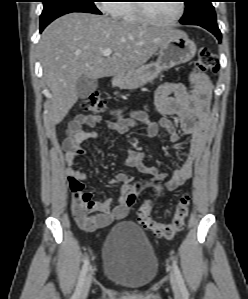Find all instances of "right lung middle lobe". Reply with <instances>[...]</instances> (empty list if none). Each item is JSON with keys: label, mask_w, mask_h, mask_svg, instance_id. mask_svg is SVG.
<instances>
[{"label": "right lung middle lobe", "mask_w": 248, "mask_h": 299, "mask_svg": "<svg viewBox=\"0 0 248 299\" xmlns=\"http://www.w3.org/2000/svg\"><path fill=\"white\" fill-rule=\"evenodd\" d=\"M43 4L40 26H47L54 19L71 12L101 14L93 0H43Z\"/></svg>", "instance_id": "dd1d6c3e"}]
</instances>
